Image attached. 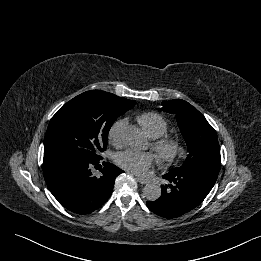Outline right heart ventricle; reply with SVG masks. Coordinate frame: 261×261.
<instances>
[{
	"label": "right heart ventricle",
	"mask_w": 261,
	"mask_h": 261,
	"mask_svg": "<svg viewBox=\"0 0 261 261\" xmlns=\"http://www.w3.org/2000/svg\"><path fill=\"white\" fill-rule=\"evenodd\" d=\"M137 121L145 133L153 139L166 134L168 123L164 117L156 112H145L137 117Z\"/></svg>",
	"instance_id": "1"
}]
</instances>
